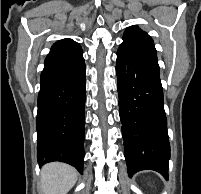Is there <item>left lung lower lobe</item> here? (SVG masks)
<instances>
[{
    "mask_svg": "<svg viewBox=\"0 0 201 194\" xmlns=\"http://www.w3.org/2000/svg\"><path fill=\"white\" fill-rule=\"evenodd\" d=\"M157 55L123 42L116 72L129 176L154 170L168 179L170 145Z\"/></svg>",
    "mask_w": 201,
    "mask_h": 194,
    "instance_id": "left-lung-lower-lobe-1",
    "label": "left lung lower lobe"
}]
</instances>
